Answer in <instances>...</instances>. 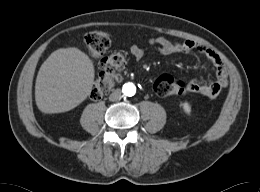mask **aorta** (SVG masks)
<instances>
[{"instance_id":"aorta-1","label":"aorta","mask_w":260,"mask_h":192,"mask_svg":"<svg viewBox=\"0 0 260 192\" xmlns=\"http://www.w3.org/2000/svg\"><path fill=\"white\" fill-rule=\"evenodd\" d=\"M122 92L126 96H133L136 93V86L133 83H125L122 88Z\"/></svg>"}]
</instances>
